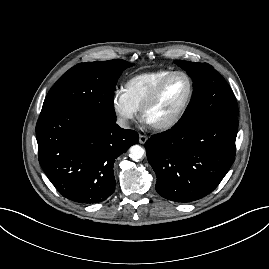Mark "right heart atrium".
<instances>
[{
  "mask_svg": "<svg viewBox=\"0 0 269 269\" xmlns=\"http://www.w3.org/2000/svg\"><path fill=\"white\" fill-rule=\"evenodd\" d=\"M111 103L119 124L123 127L129 126L136 117L137 110L129 102L123 90H116L113 93Z\"/></svg>",
  "mask_w": 269,
  "mask_h": 269,
  "instance_id": "right-heart-atrium-1",
  "label": "right heart atrium"
}]
</instances>
